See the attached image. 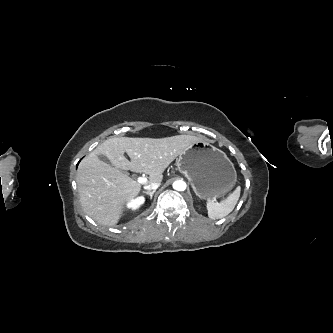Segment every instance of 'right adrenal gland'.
<instances>
[{"instance_id":"2a0ac1e0","label":"right adrenal gland","mask_w":333,"mask_h":333,"mask_svg":"<svg viewBox=\"0 0 333 333\" xmlns=\"http://www.w3.org/2000/svg\"><path fill=\"white\" fill-rule=\"evenodd\" d=\"M156 192V190H152V191H143V194H147L150 196V199L152 200L153 194Z\"/></svg>"}]
</instances>
